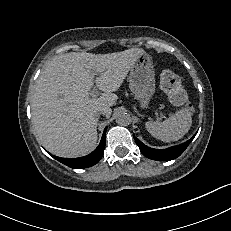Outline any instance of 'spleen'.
I'll return each instance as SVG.
<instances>
[{
    "label": "spleen",
    "mask_w": 231,
    "mask_h": 231,
    "mask_svg": "<svg viewBox=\"0 0 231 231\" xmlns=\"http://www.w3.org/2000/svg\"><path fill=\"white\" fill-rule=\"evenodd\" d=\"M191 124L192 112L185 108L163 122L148 121L145 127L153 137L168 143L181 139L189 131Z\"/></svg>",
    "instance_id": "spleen-1"
}]
</instances>
